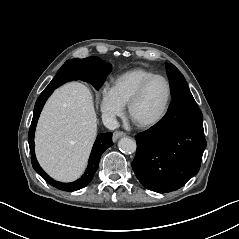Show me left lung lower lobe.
I'll return each instance as SVG.
<instances>
[{"instance_id":"1","label":"left lung lower lobe","mask_w":239,"mask_h":239,"mask_svg":"<svg viewBox=\"0 0 239 239\" xmlns=\"http://www.w3.org/2000/svg\"><path fill=\"white\" fill-rule=\"evenodd\" d=\"M136 141L132 168L145 188L171 192L196 175L206 140L202 113L191 92L174 95L163 119L138 134Z\"/></svg>"}]
</instances>
